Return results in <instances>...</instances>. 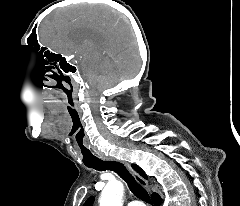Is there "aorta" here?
Returning <instances> with one entry per match:
<instances>
[{
  "instance_id": "aorta-1",
  "label": "aorta",
  "mask_w": 240,
  "mask_h": 206,
  "mask_svg": "<svg viewBox=\"0 0 240 206\" xmlns=\"http://www.w3.org/2000/svg\"><path fill=\"white\" fill-rule=\"evenodd\" d=\"M123 194V183L117 180L110 181L101 193L100 206H122Z\"/></svg>"
}]
</instances>
